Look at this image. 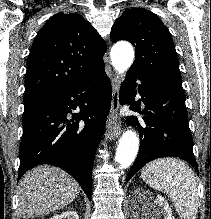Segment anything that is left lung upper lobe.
I'll list each match as a JSON object with an SVG mask.
<instances>
[{"label":"left lung upper lobe","instance_id":"5c2ea615","mask_svg":"<svg viewBox=\"0 0 211 219\" xmlns=\"http://www.w3.org/2000/svg\"><path fill=\"white\" fill-rule=\"evenodd\" d=\"M110 37L113 42L127 40L135 46V61L130 70L181 79L171 34L152 12L142 8L126 9L113 24Z\"/></svg>","mask_w":211,"mask_h":219}]
</instances>
